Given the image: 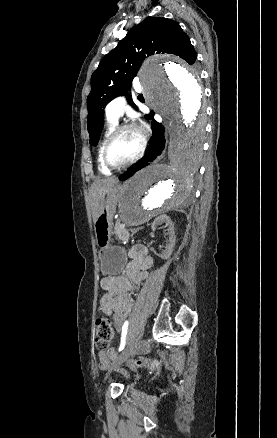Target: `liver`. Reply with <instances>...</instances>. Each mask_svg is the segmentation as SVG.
<instances>
[{"label": "liver", "mask_w": 277, "mask_h": 438, "mask_svg": "<svg viewBox=\"0 0 277 438\" xmlns=\"http://www.w3.org/2000/svg\"><path fill=\"white\" fill-rule=\"evenodd\" d=\"M117 184L116 178H107V180H98L94 182L91 186V196H92V208H93V222L95 224L97 218L101 214V208L105 202V194L110 192Z\"/></svg>", "instance_id": "obj_1"}]
</instances>
